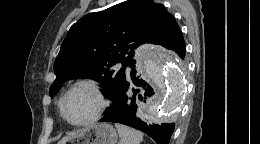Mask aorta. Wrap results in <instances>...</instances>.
<instances>
[{
	"label": "aorta",
	"instance_id": "1",
	"mask_svg": "<svg viewBox=\"0 0 260 144\" xmlns=\"http://www.w3.org/2000/svg\"><path fill=\"white\" fill-rule=\"evenodd\" d=\"M141 64L157 89L150 101L151 116L164 120L178 108L183 95L184 83L179 62L170 51L148 49L141 57ZM145 118H150V114Z\"/></svg>",
	"mask_w": 260,
	"mask_h": 144
}]
</instances>
